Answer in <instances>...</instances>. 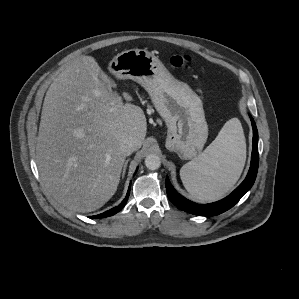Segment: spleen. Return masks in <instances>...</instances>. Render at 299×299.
Segmentation results:
<instances>
[{
	"instance_id": "spleen-1",
	"label": "spleen",
	"mask_w": 299,
	"mask_h": 299,
	"mask_svg": "<svg viewBox=\"0 0 299 299\" xmlns=\"http://www.w3.org/2000/svg\"><path fill=\"white\" fill-rule=\"evenodd\" d=\"M245 159L246 144L242 125L238 118H232L200 155L182 166L180 177L194 198L215 201L236 184Z\"/></svg>"
}]
</instances>
